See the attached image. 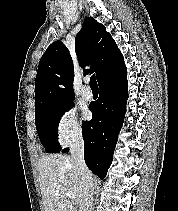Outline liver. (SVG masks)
<instances>
[{"mask_svg":"<svg viewBox=\"0 0 178 211\" xmlns=\"http://www.w3.org/2000/svg\"><path fill=\"white\" fill-rule=\"evenodd\" d=\"M38 170L44 211H75L66 192H72L80 206L83 182L71 156H43L38 161Z\"/></svg>","mask_w":178,"mask_h":211,"instance_id":"obj_1","label":"liver"}]
</instances>
